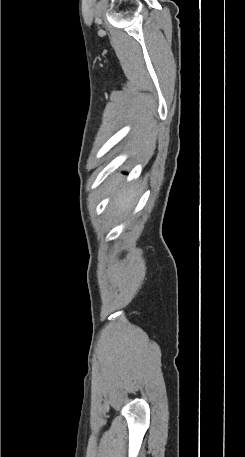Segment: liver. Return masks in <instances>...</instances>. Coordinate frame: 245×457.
<instances>
[{
    "instance_id": "6515ba94",
    "label": "liver",
    "mask_w": 245,
    "mask_h": 457,
    "mask_svg": "<svg viewBox=\"0 0 245 457\" xmlns=\"http://www.w3.org/2000/svg\"><path fill=\"white\" fill-rule=\"evenodd\" d=\"M115 180V184H113L112 180H109V186L113 184V190H116L119 182L118 178H113ZM136 196L135 188L134 186H130V188H121V190H118L116 192L114 198V206H116L117 210H119L120 214L121 212H130L131 206H134V198Z\"/></svg>"
}]
</instances>
